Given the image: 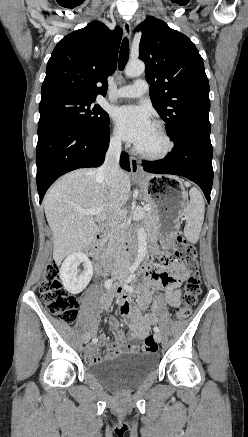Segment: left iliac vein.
I'll use <instances>...</instances> for the list:
<instances>
[{
    "label": "left iliac vein",
    "mask_w": 248,
    "mask_h": 437,
    "mask_svg": "<svg viewBox=\"0 0 248 437\" xmlns=\"http://www.w3.org/2000/svg\"><path fill=\"white\" fill-rule=\"evenodd\" d=\"M123 282H124V279L121 278V279H120V283L123 284ZM154 338H155V340H156L157 342H161V340H162V336H161V334H160L159 332H155V334H154Z\"/></svg>",
    "instance_id": "obj_1"
}]
</instances>
